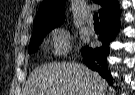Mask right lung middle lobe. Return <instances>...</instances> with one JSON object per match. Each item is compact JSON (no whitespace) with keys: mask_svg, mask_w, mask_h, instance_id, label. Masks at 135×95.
Returning <instances> with one entry per match:
<instances>
[{"mask_svg":"<svg viewBox=\"0 0 135 95\" xmlns=\"http://www.w3.org/2000/svg\"><path fill=\"white\" fill-rule=\"evenodd\" d=\"M50 30L34 32L31 38L30 46H29V53H34L38 50L39 45L41 44L43 38Z\"/></svg>","mask_w":135,"mask_h":95,"instance_id":"1","label":"right lung middle lobe"}]
</instances>
